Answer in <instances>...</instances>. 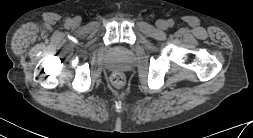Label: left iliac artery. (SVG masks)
<instances>
[{
    "mask_svg": "<svg viewBox=\"0 0 253 138\" xmlns=\"http://www.w3.org/2000/svg\"><path fill=\"white\" fill-rule=\"evenodd\" d=\"M167 24H168L169 27H173L174 21L170 19V20H168Z\"/></svg>",
    "mask_w": 253,
    "mask_h": 138,
    "instance_id": "1",
    "label": "left iliac artery"
}]
</instances>
